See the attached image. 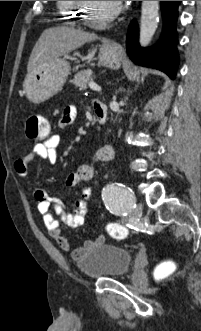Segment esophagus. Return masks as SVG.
I'll use <instances>...</instances> for the list:
<instances>
[{
  "instance_id": "obj_1",
  "label": "esophagus",
  "mask_w": 201,
  "mask_h": 331,
  "mask_svg": "<svg viewBox=\"0 0 201 331\" xmlns=\"http://www.w3.org/2000/svg\"><path fill=\"white\" fill-rule=\"evenodd\" d=\"M108 45L111 47V48H114V49H120V46H118L117 44L115 43H108Z\"/></svg>"
}]
</instances>
